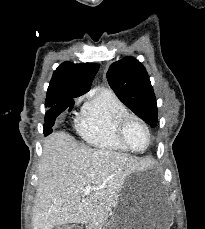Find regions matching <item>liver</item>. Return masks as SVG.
<instances>
[{
  "label": "liver",
  "instance_id": "obj_1",
  "mask_svg": "<svg viewBox=\"0 0 205 229\" xmlns=\"http://www.w3.org/2000/svg\"><path fill=\"white\" fill-rule=\"evenodd\" d=\"M142 163L128 154L88 148L65 132H54L43 144L32 211L33 229L68 223H90L116 206L126 178ZM97 190L84 196V187Z\"/></svg>",
  "mask_w": 205,
  "mask_h": 229
}]
</instances>
